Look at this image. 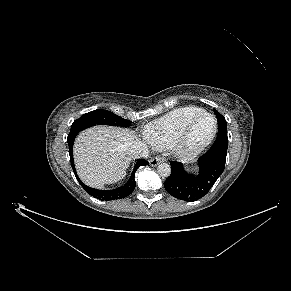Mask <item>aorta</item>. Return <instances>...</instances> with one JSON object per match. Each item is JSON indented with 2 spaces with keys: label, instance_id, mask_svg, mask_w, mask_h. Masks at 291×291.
I'll return each instance as SVG.
<instances>
[{
  "label": "aorta",
  "instance_id": "762f6f07",
  "mask_svg": "<svg viewBox=\"0 0 291 291\" xmlns=\"http://www.w3.org/2000/svg\"><path fill=\"white\" fill-rule=\"evenodd\" d=\"M158 173L163 177H168L171 174V167L168 163H161L158 165Z\"/></svg>",
  "mask_w": 291,
  "mask_h": 291
}]
</instances>
